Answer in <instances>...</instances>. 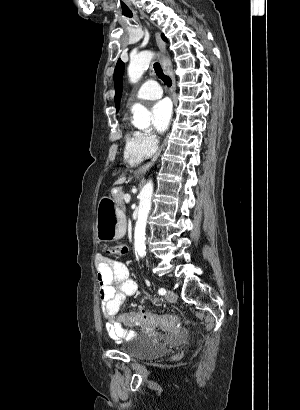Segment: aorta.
<instances>
[{
	"label": "aorta",
	"mask_w": 300,
	"mask_h": 410,
	"mask_svg": "<svg viewBox=\"0 0 300 410\" xmlns=\"http://www.w3.org/2000/svg\"><path fill=\"white\" fill-rule=\"evenodd\" d=\"M154 57L151 51H143L131 58L128 66V76L132 83H136L145 70L148 68L150 61ZM133 125L138 129H147L150 126L151 113L141 104H134L132 107ZM153 182L148 181L140 191L138 217L134 230V247L137 254L143 258L146 255L145 232L149 211L152 205Z\"/></svg>",
	"instance_id": "obj_1"
}]
</instances>
